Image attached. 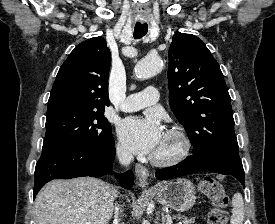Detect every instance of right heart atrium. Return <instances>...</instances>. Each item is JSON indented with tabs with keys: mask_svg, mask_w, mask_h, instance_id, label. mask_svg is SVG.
Instances as JSON below:
<instances>
[{
	"mask_svg": "<svg viewBox=\"0 0 275 224\" xmlns=\"http://www.w3.org/2000/svg\"><path fill=\"white\" fill-rule=\"evenodd\" d=\"M116 151H117V154L121 157H126L128 155L126 150L120 144L116 146Z\"/></svg>",
	"mask_w": 275,
	"mask_h": 224,
	"instance_id": "right-heart-atrium-1",
	"label": "right heart atrium"
}]
</instances>
